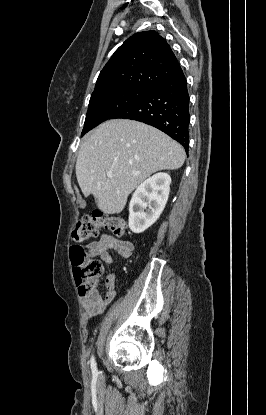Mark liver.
Returning <instances> with one entry per match:
<instances>
[{
  "label": "liver",
  "mask_w": 266,
  "mask_h": 415,
  "mask_svg": "<svg viewBox=\"0 0 266 415\" xmlns=\"http://www.w3.org/2000/svg\"><path fill=\"white\" fill-rule=\"evenodd\" d=\"M185 158L183 147L162 131L134 120L113 119L82 138L76 177L85 197L92 194L100 210L115 214L147 177L179 169ZM109 172L112 178L107 177Z\"/></svg>",
  "instance_id": "6515ba94"
}]
</instances>
